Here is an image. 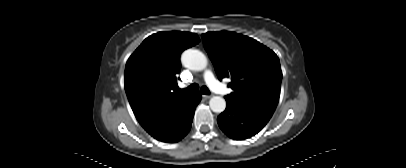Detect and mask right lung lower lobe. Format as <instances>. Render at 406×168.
I'll return each mask as SVG.
<instances>
[{"instance_id": "right-lung-lower-lobe-1", "label": "right lung lower lobe", "mask_w": 406, "mask_h": 168, "mask_svg": "<svg viewBox=\"0 0 406 168\" xmlns=\"http://www.w3.org/2000/svg\"><path fill=\"white\" fill-rule=\"evenodd\" d=\"M201 100L200 94H193L181 110L172 117L171 121L153 136L159 141L174 143L181 140L190 130L196 106Z\"/></svg>"}]
</instances>
